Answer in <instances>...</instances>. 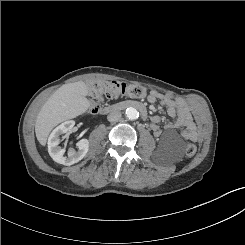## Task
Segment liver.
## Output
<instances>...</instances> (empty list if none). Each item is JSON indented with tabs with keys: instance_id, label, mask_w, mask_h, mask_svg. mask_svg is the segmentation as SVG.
Masks as SVG:
<instances>
[{
	"instance_id": "obj_1",
	"label": "liver",
	"mask_w": 245,
	"mask_h": 245,
	"mask_svg": "<svg viewBox=\"0 0 245 245\" xmlns=\"http://www.w3.org/2000/svg\"><path fill=\"white\" fill-rule=\"evenodd\" d=\"M88 94L86 83L78 81L61 86L44 103L35 122L36 137L42 146L46 145L47 138L55 126L88 110Z\"/></svg>"
}]
</instances>
